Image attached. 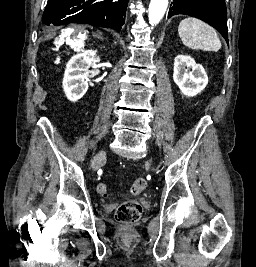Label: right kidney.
I'll use <instances>...</instances> for the list:
<instances>
[{"label": "right kidney", "instance_id": "right-kidney-1", "mask_svg": "<svg viewBox=\"0 0 256 267\" xmlns=\"http://www.w3.org/2000/svg\"><path fill=\"white\" fill-rule=\"evenodd\" d=\"M96 60H99L96 50H84L69 60L63 78V90L70 102H78L86 94L89 68Z\"/></svg>", "mask_w": 256, "mask_h": 267}]
</instances>
